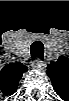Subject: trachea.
I'll use <instances>...</instances> for the list:
<instances>
[{"label":"trachea","mask_w":69,"mask_h":101,"mask_svg":"<svg viewBox=\"0 0 69 101\" xmlns=\"http://www.w3.org/2000/svg\"><path fill=\"white\" fill-rule=\"evenodd\" d=\"M30 52L34 61H42L44 57V45L41 41L32 43Z\"/></svg>","instance_id":"1"}]
</instances>
